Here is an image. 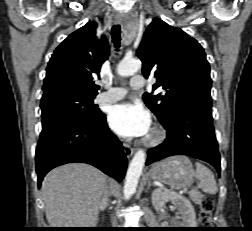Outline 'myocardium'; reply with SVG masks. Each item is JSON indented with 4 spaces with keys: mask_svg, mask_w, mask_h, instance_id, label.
<instances>
[{
    "mask_svg": "<svg viewBox=\"0 0 252 231\" xmlns=\"http://www.w3.org/2000/svg\"><path fill=\"white\" fill-rule=\"evenodd\" d=\"M165 137L166 133L161 127H154L150 135L146 138L145 144L148 146H156L163 142Z\"/></svg>",
    "mask_w": 252,
    "mask_h": 231,
    "instance_id": "f54148a6",
    "label": "myocardium"
}]
</instances>
